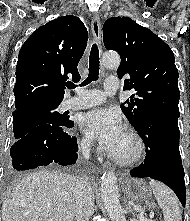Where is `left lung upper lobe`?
Here are the masks:
<instances>
[{"label": "left lung upper lobe", "mask_w": 190, "mask_h": 221, "mask_svg": "<svg viewBox=\"0 0 190 221\" xmlns=\"http://www.w3.org/2000/svg\"><path fill=\"white\" fill-rule=\"evenodd\" d=\"M103 41L106 49L120 54L119 78L130 75L124 90L134 93L121 105L129 122L137 129L151 115L179 117V75L171 48L128 17L108 19L103 25Z\"/></svg>", "instance_id": "5c2ea615"}]
</instances>
